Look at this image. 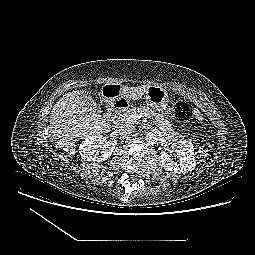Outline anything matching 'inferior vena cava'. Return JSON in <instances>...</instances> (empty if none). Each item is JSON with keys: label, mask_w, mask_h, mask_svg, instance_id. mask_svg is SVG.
<instances>
[{"label": "inferior vena cava", "mask_w": 255, "mask_h": 255, "mask_svg": "<svg viewBox=\"0 0 255 255\" xmlns=\"http://www.w3.org/2000/svg\"><path fill=\"white\" fill-rule=\"evenodd\" d=\"M117 132L122 136L126 137L129 135H132L135 132V126L130 124H125L123 126H120Z\"/></svg>", "instance_id": "1"}]
</instances>
